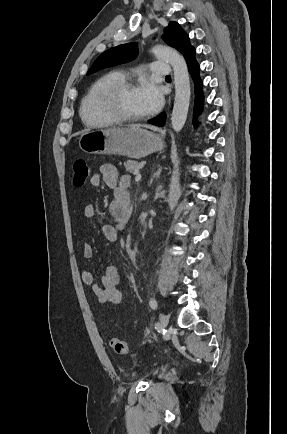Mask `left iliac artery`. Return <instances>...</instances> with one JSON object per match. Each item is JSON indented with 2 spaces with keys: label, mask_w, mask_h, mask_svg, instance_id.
Segmentation results:
<instances>
[{
  "label": "left iliac artery",
  "mask_w": 287,
  "mask_h": 434,
  "mask_svg": "<svg viewBox=\"0 0 287 434\" xmlns=\"http://www.w3.org/2000/svg\"><path fill=\"white\" fill-rule=\"evenodd\" d=\"M149 305H150V307L152 308V309H157V307H158V303H157V301L154 299V298H151L150 299V301H149Z\"/></svg>",
  "instance_id": "44dca946"
}]
</instances>
